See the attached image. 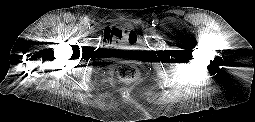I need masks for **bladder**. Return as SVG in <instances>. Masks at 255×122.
<instances>
[{"label": "bladder", "mask_w": 255, "mask_h": 122, "mask_svg": "<svg viewBox=\"0 0 255 122\" xmlns=\"http://www.w3.org/2000/svg\"><path fill=\"white\" fill-rule=\"evenodd\" d=\"M121 32L124 33L122 37H120L119 42H128L130 44H134L136 41L135 34L132 30H126V29H118Z\"/></svg>", "instance_id": "obj_1"}]
</instances>
